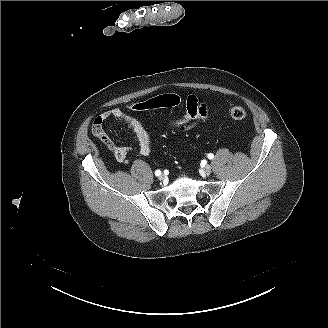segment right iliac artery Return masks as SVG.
I'll list each match as a JSON object with an SVG mask.
<instances>
[{
    "label": "right iliac artery",
    "mask_w": 328,
    "mask_h": 328,
    "mask_svg": "<svg viewBox=\"0 0 328 328\" xmlns=\"http://www.w3.org/2000/svg\"><path fill=\"white\" fill-rule=\"evenodd\" d=\"M160 174H161V171H160V170H156V171H155V175H156V176H159Z\"/></svg>",
    "instance_id": "1"
}]
</instances>
